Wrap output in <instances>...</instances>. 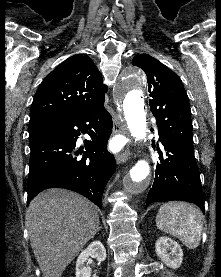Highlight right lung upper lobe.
<instances>
[{
	"instance_id": "right-lung-upper-lobe-1",
	"label": "right lung upper lobe",
	"mask_w": 221,
	"mask_h": 277,
	"mask_svg": "<svg viewBox=\"0 0 221 277\" xmlns=\"http://www.w3.org/2000/svg\"><path fill=\"white\" fill-rule=\"evenodd\" d=\"M107 87L87 55H74L49 73L40 84L30 110L29 125L38 119L75 115L104 103Z\"/></svg>"
}]
</instances>
